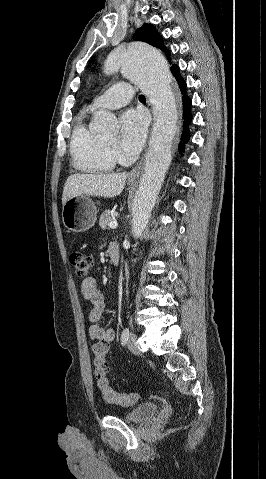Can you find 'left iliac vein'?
<instances>
[{"label": "left iliac vein", "mask_w": 266, "mask_h": 479, "mask_svg": "<svg viewBox=\"0 0 266 479\" xmlns=\"http://www.w3.org/2000/svg\"><path fill=\"white\" fill-rule=\"evenodd\" d=\"M127 346L132 353H134V354H140L141 353L140 348L138 346L137 335L136 334H131L130 335V337L128 339V342H127Z\"/></svg>", "instance_id": "left-iliac-vein-1"}]
</instances>
